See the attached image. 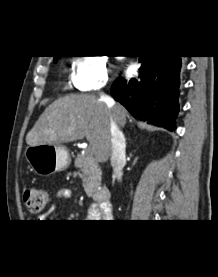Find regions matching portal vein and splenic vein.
<instances>
[{"mask_svg":"<svg viewBox=\"0 0 218 277\" xmlns=\"http://www.w3.org/2000/svg\"><path fill=\"white\" fill-rule=\"evenodd\" d=\"M87 153H89V154H92V155H93V150H92V148H90V147H89V148L87 149Z\"/></svg>","mask_w":218,"mask_h":277,"instance_id":"portal-vein-and-splenic-vein-1","label":"portal vein and splenic vein"}]
</instances>
